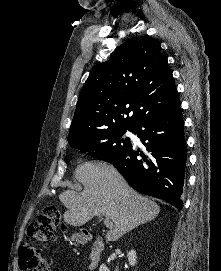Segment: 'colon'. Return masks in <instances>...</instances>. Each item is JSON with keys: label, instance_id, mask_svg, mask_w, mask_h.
Instances as JSON below:
<instances>
[{"label": "colon", "instance_id": "colon-1", "mask_svg": "<svg viewBox=\"0 0 221 271\" xmlns=\"http://www.w3.org/2000/svg\"><path fill=\"white\" fill-rule=\"evenodd\" d=\"M60 224V214L56 207L47 206L38 215L29 228L30 237L35 242H48L55 238L56 228ZM20 271H48L45 257L40 250L30 244L19 247Z\"/></svg>", "mask_w": 221, "mask_h": 271}]
</instances>
